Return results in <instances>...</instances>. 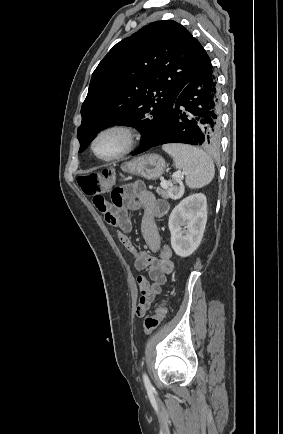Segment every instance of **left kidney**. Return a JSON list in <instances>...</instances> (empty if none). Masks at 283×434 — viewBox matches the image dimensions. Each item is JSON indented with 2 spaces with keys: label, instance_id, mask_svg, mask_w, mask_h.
Masks as SVG:
<instances>
[{
  "label": "left kidney",
  "instance_id": "left-kidney-1",
  "mask_svg": "<svg viewBox=\"0 0 283 434\" xmlns=\"http://www.w3.org/2000/svg\"><path fill=\"white\" fill-rule=\"evenodd\" d=\"M207 222V200L202 193L192 194L172 210L168 226L171 246L180 257H188L199 247Z\"/></svg>",
  "mask_w": 283,
  "mask_h": 434
}]
</instances>
